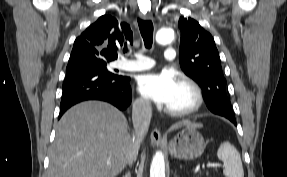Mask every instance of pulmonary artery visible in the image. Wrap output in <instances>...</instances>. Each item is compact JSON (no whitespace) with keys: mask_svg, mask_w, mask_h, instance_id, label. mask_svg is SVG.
<instances>
[{"mask_svg":"<svg viewBox=\"0 0 287 177\" xmlns=\"http://www.w3.org/2000/svg\"><path fill=\"white\" fill-rule=\"evenodd\" d=\"M134 56H135L134 60L122 59L118 61L117 67L121 70L137 72L146 70L153 66L151 58L140 53H135ZM174 58H175L174 47H167L164 51L165 61L167 63H172L174 61Z\"/></svg>","mask_w":287,"mask_h":177,"instance_id":"1","label":"pulmonary artery"}]
</instances>
